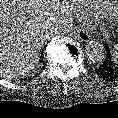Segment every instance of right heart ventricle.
<instances>
[{
    "label": "right heart ventricle",
    "instance_id": "1",
    "mask_svg": "<svg viewBox=\"0 0 118 118\" xmlns=\"http://www.w3.org/2000/svg\"><path fill=\"white\" fill-rule=\"evenodd\" d=\"M118 0H86V14L95 17H117Z\"/></svg>",
    "mask_w": 118,
    "mask_h": 118
}]
</instances>
